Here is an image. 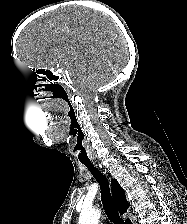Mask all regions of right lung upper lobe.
<instances>
[{"label": "right lung upper lobe", "mask_w": 187, "mask_h": 224, "mask_svg": "<svg viewBox=\"0 0 187 224\" xmlns=\"http://www.w3.org/2000/svg\"><path fill=\"white\" fill-rule=\"evenodd\" d=\"M112 194L117 208L121 214L125 213L128 209V202L126 200L125 191L121 188L116 179L111 180ZM129 221L128 219L126 222Z\"/></svg>", "instance_id": "cb5924a9"}]
</instances>
